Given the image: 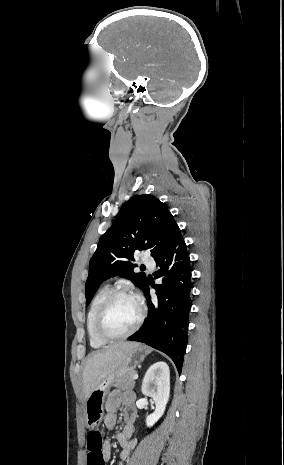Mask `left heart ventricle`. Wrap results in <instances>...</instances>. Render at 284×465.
I'll use <instances>...</instances> for the list:
<instances>
[{
	"instance_id": "obj_1",
	"label": "left heart ventricle",
	"mask_w": 284,
	"mask_h": 465,
	"mask_svg": "<svg viewBox=\"0 0 284 465\" xmlns=\"http://www.w3.org/2000/svg\"><path fill=\"white\" fill-rule=\"evenodd\" d=\"M139 319V308L135 300L120 298L109 309L102 330L112 337H120L131 331Z\"/></svg>"
}]
</instances>
